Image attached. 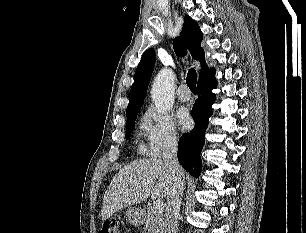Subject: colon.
<instances>
[{"mask_svg": "<svg viewBox=\"0 0 306 233\" xmlns=\"http://www.w3.org/2000/svg\"><path fill=\"white\" fill-rule=\"evenodd\" d=\"M99 233H119L118 223L115 221L105 222Z\"/></svg>", "mask_w": 306, "mask_h": 233, "instance_id": "colon-1", "label": "colon"}]
</instances>
